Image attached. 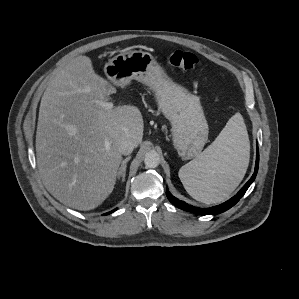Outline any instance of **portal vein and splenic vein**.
I'll list each match as a JSON object with an SVG mask.
<instances>
[{"instance_id": "18ae733b", "label": "portal vein and splenic vein", "mask_w": 299, "mask_h": 299, "mask_svg": "<svg viewBox=\"0 0 299 299\" xmlns=\"http://www.w3.org/2000/svg\"><path fill=\"white\" fill-rule=\"evenodd\" d=\"M98 105H100L101 107L106 108L107 110H112L114 108L113 103L112 102H105L102 100H96L95 101Z\"/></svg>"}]
</instances>
